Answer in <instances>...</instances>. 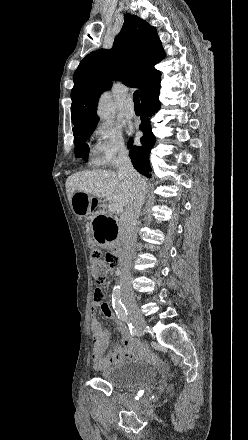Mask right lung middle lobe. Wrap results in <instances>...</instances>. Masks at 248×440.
<instances>
[{"mask_svg":"<svg viewBox=\"0 0 248 440\" xmlns=\"http://www.w3.org/2000/svg\"><path fill=\"white\" fill-rule=\"evenodd\" d=\"M94 130L84 131L74 135V144L75 148V157H85L89 153V147L85 143L86 140L89 139Z\"/></svg>","mask_w":248,"mask_h":440,"instance_id":"dd1d6c3e","label":"right lung middle lobe"}]
</instances>
